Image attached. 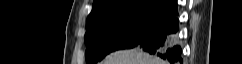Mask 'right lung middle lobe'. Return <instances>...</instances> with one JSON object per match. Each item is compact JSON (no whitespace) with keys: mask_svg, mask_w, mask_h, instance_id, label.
Masks as SVG:
<instances>
[{"mask_svg":"<svg viewBox=\"0 0 242 64\" xmlns=\"http://www.w3.org/2000/svg\"><path fill=\"white\" fill-rule=\"evenodd\" d=\"M151 10L117 12L86 24V64L101 61L107 54L136 47L162 20Z\"/></svg>","mask_w":242,"mask_h":64,"instance_id":"right-lung-middle-lobe-1","label":"right lung middle lobe"}]
</instances>
